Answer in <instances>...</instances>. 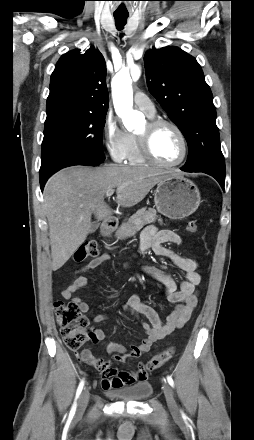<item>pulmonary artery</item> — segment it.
Instances as JSON below:
<instances>
[{
    "instance_id": "1",
    "label": "pulmonary artery",
    "mask_w": 254,
    "mask_h": 440,
    "mask_svg": "<svg viewBox=\"0 0 254 440\" xmlns=\"http://www.w3.org/2000/svg\"><path fill=\"white\" fill-rule=\"evenodd\" d=\"M135 105L146 113L147 116L153 117L156 113L153 102L142 92H137L134 95Z\"/></svg>"
}]
</instances>
